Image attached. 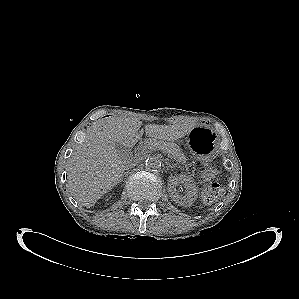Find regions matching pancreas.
<instances>
[{
    "mask_svg": "<svg viewBox=\"0 0 299 299\" xmlns=\"http://www.w3.org/2000/svg\"><path fill=\"white\" fill-rule=\"evenodd\" d=\"M143 147L145 149L154 150L158 149L168 154V156L177 162L185 163L186 157L175 143L157 141L156 139H150L144 142Z\"/></svg>",
    "mask_w": 299,
    "mask_h": 299,
    "instance_id": "pancreas-1",
    "label": "pancreas"
}]
</instances>
